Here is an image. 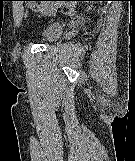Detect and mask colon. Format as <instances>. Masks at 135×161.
<instances>
[{
  "instance_id": "1",
  "label": "colon",
  "mask_w": 135,
  "mask_h": 161,
  "mask_svg": "<svg viewBox=\"0 0 135 161\" xmlns=\"http://www.w3.org/2000/svg\"><path fill=\"white\" fill-rule=\"evenodd\" d=\"M48 1H54V5L52 7H58L60 2H65V4L62 5V12L65 15H73L75 13V4L70 0H48Z\"/></svg>"
}]
</instances>
